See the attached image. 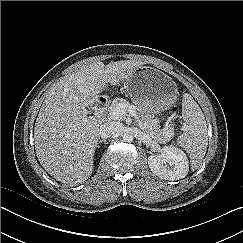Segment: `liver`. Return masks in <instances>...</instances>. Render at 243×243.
<instances>
[{
    "label": "liver",
    "instance_id": "obj_1",
    "mask_svg": "<svg viewBox=\"0 0 243 243\" xmlns=\"http://www.w3.org/2000/svg\"><path fill=\"white\" fill-rule=\"evenodd\" d=\"M144 64L122 60L104 66L100 61L65 76L52 87L40 108L34 128L37 158L56 180L77 185L93 171L100 121L87 116L98 94L120 85L129 73Z\"/></svg>",
    "mask_w": 243,
    "mask_h": 243
}]
</instances>
